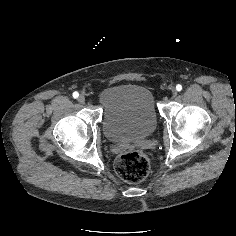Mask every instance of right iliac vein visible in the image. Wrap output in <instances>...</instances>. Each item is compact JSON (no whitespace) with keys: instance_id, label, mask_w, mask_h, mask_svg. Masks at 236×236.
<instances>
[{"instance_id":"right-iliac-vein-1","label":"right iliac vein","mask_w":236,"mask_h":236,"mask_svg":"<svg viewBox=\"0 0 236 236\" xmlns=\"http://www.w3.org/2000/svg\"><path fill=\"white\" fill-rule=\"evenodd\" d=\"M78 102H79L80 104H84V103H85V96H84V95H80V96L78 97Z\"/></svg>"}]
</instances>
